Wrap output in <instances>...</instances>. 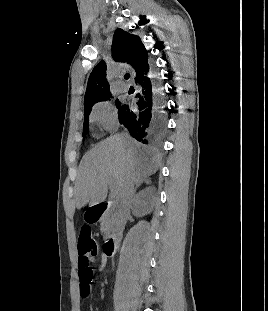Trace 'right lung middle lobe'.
<instances>
[{"instance_id":"right-lung-middle-lobe-1","label":"right lung middle lobe","mask_w":268,"mask_h":311,"mask_svg":"<svg viewBox=\"0 0 268 311\" xmlns=\"http://www.w3.org/2000/svg\"><path fill=\"white\" fill-rule=\"evenodd\" d=\"M110 97H111V95L106 97V98H104L102 101L108 100ZM115 103H116V106H117V108L119 110V108L121 107V102L117 99ZM90 111L91 110L86 111L85 115H84L83 136H85L88 133V131H89L88 127H89V114H90Z\"/></svg>"}]
</instances>
